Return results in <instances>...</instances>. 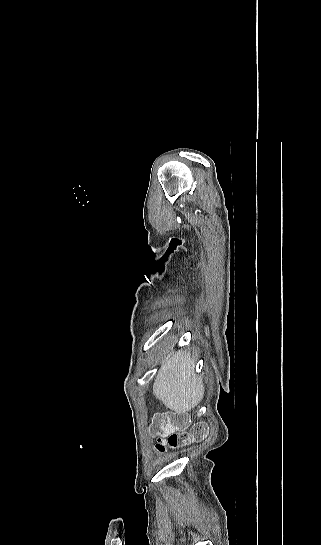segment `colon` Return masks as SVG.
<instances>
[{"instance_id":"colon-1","label":"colon","mask_w":321,"mask_h":545,"mask_svg":"<svg viewBox=\"0 0 321 545\" xmlns=\"http://www.w3.org/2000/svg\"><path fill=\"white\" fill-rule=\"evenodd\" d=\"M189 419L184 413H162L153 417L150 431L157 438L156 448L159 452L177 449L199 441L206 436L207 428L198 424L190 432H186Z\"/></svg>"}]
</instances>
